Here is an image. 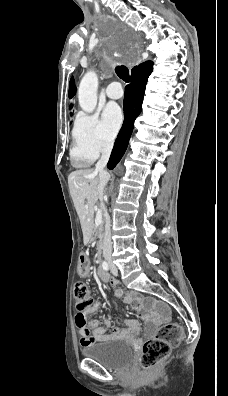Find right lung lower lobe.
Here are the masks:
<instances>
[{
    "label": "right lung lower lobe",
    "mask_w": 228,
    "mask_h": 396,
    "mask_svg": "<svg viewBox=\"0 0 228 396\" xmlns=\"http://www.w3.org/2000/svg\"><path fill=\"white\" fill-rule=\"evenodd\" d=\"M152 67L153 62L146 61L131 71V84L126 87L124 95L125 119L107 164L109 169H113L119 163L127 149L134 121L142 109L145 86Z\"/></svg>",
    "instance_id": "1"
}]
</instances>
